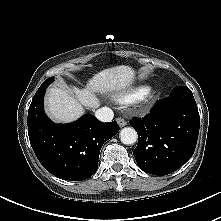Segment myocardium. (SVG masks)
Segmentation results:
<instances>
[{
    "label": "myocardium",
    "mask_w": 221,
    "mask_h": 221,
    "mask_svg": "<svg viewBox=\"0 0 221 221\" xmlns=\"http://www.w3.org/2000/svg\"><path fill=\"white\" fill-rule=\"evenodd\" d=\"M151 97V92H145L143 95H142V97H141V99H143V100H147V99H149Z\"/></svg>",
    "instance_id": "obj_1"
}]
</instances>
